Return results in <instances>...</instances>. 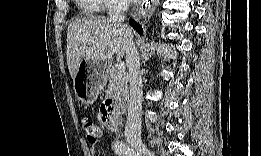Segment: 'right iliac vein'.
<instances>
[{
	"instance_id": "1",
	"label": "right iliac vein",
	"mask_w": 261,
	"mask_h": 156,
	"mask_svg": "<svg viewBox=\"0 0 261 156\" xmlns=\"http://www.w3.org/2000/svg\"><path fill=\"white\" fill-rule=\"evenodd\" d=\"M134 147L137 151H139L143 155L153 156V153L142 142H135Z\"/></svg>"
}]
</instances>
